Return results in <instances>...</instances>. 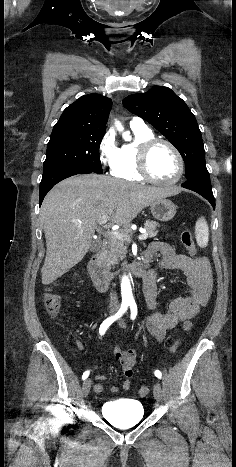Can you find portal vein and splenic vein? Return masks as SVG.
I'll use <instances>...</instances> for the list:
<instances>
[{
    "mask_svg": "<svg viewBox=\"0 0 236 467\" xmlns=\"http://www.w3.org/2000/svg\"><path fill=\"white\" fill-rule=\"evenodd\" d=\"M108 221V217L105 216L101 219L100 221V224H105L106 222ZM140 232L142 233L138 238L139 240H145L147 239V232L146 230L144 229H141ZM108 233L118 239H121V240H124V241H129L130 238L127 234L123 233V232H119L118 230H115V229H112V230H109L108 229Z\"/></svg>",
    "mask_w": 236,
    "mask_h": 467,
    "instance_id": "portal-vein-and-splenic-vein-1",
    "label": "portal vein and splenic vein"
}]
</instances>
